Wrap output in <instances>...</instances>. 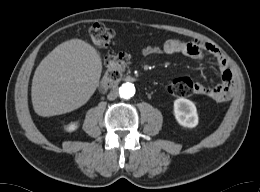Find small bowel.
Segmentation results:
<instances>
[{
	"label": "small bowel",
	"mask_w": 260,
	"mask_h": 192,
	"mask_svg": "<svg viewBox=\"0 0 260 192\" xmlns=\"http://www.w3.org/2000/svg\"><path fill=\"white\" fill-rule=\"evenodd\" d=\"M157 54H182L194 60H202L206 54L212 56L218 64L221 82L215 86L194 83V93L218 102H225L231 98L234 90L233 74L226 59L214 45L199 39H169L161 47L147 46L141 50L144 57Z\"/></svg>",
	"instance_id": "small-bowel-1"
}]
</instances>
